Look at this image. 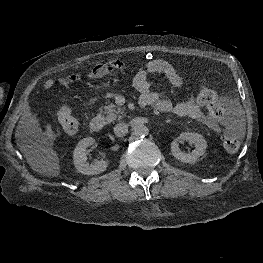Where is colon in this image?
<instances>
[{"mask_svg": "<svg viewBox=\"0 0 263 263\" xmlns=\"http://www.w3.org/2000/svg\"><path fill=\"white\" fill-rule=\"evenodd\" d=\"M118 68H125L122 62H115ZM199 100L205 106L209 113L218 118L225 112V104L219 100L216 92L212 89L204 88L199 94ZM57 117L60 126L68 134H74L79 128L78 120L74 117L71 111L66 107H60L57 111ZM223 144L225 149L230 153H235L239 150L241 144V134L237 129H229L223 136Z\"/></svg>", "mask_w": 263, "mask_h": 263, "instance_id": "colon-1", "label": "colon"}]
</instances>
